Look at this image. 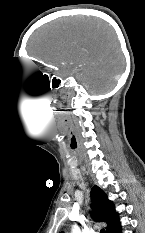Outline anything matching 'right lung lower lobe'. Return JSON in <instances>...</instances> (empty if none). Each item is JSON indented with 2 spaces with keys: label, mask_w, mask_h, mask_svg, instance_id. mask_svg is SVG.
Segmentation results:
<instances>
[{
  "label": "right lung lower lobe",
  "mask_w": 145,
  "mask_h": 233,
  "mask_svg": "<svg viewBox=\"0 0 145 233\" xmlns=\"http://www.w3.org/2000/svg\"><path fill=\"white\" fill-rule=\"evenodd\" d=\"M109 233H121V225L120 222L116 224L110 231Z\"/></svg>",
  "instance_id": "1"
}]
</instances>
